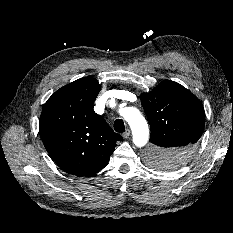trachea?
<instances>
[{
    "label": "trachea",
    "mask_w": 233,
    "mask_h": 233,
    "mask_svg": "<svg viewBox=\"0 0 233 233\" xmlns=\"http://www.w3.org/2000/svg\"><path fill=\"white\" fill-rule=\"evenodd\" d=\"M114 129L118 133H123L125 131V125L122 119H116L114 122Z\"/></svg>",
    "instance_id": "1"
}]
</instances>
